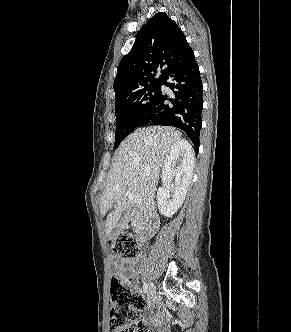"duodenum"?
<instances>
[{
    "label": "duodenum",
    "mask_w": 291,
    "mask_h": 332,
    "mask_svg": "<svg viewBox=\"0 0 291 332\" xmlns=\"http://www.w3.org/2000/svg\"><path fill=\"white\" fill-rule=\"evenodd\" d=\"M159 226V218L156 215L142 217L138 226V237L141 242L147 241Z\"/></svg>",
    "instance_id": "1"
}]
</instances>
